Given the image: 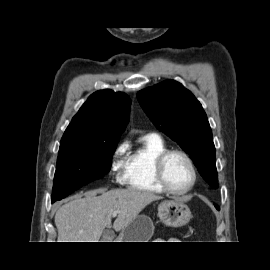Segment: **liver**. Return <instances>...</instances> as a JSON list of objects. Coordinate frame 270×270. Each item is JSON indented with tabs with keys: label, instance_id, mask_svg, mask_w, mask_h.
Returning a JSON list of instances; mask_svg holds the SVG:
<instances>
[{
	"label": "liver",
	"instance_id": "6515ba94",
	"mask_svg": "<svg viewBox=\"0 0 270 270\" xmlns=\"http://www.w3.org/2000/svg\"><path fill=\"white\" fill-rule=\"evenodd\" d=\"M101 193L100 196H97ZM161 197L137 189H98L75 197L55 215L58 242H99L105 228L123 230L150 203ZM118 211L113 226L112 214Z\"/></svg>",
	"mask_w": 270,
	"mask_h": 270
}]
</instances>
